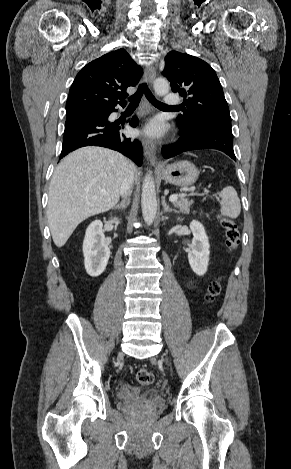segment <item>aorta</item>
<instances>
[{
	"label": "aorta",
	"instance_id": "762f6f07",
	"mask_svg": "<svg viewBox=\"0 0 291 469\" xmlns=\"http://www.w3.org/2000/svg\"><path fill=\"white\" fill-rule=\"evenodd\" d=\"M170 86L166 79L157 78L154 82V90L157 96H164L169 92ZM142 215L146 223L151 224L156 216L157 199L154 179L149 171L142 185L141 195Z\"/></svg>",
	"mask_w": 291,
	"mask_h": 469
}]
</instances>
